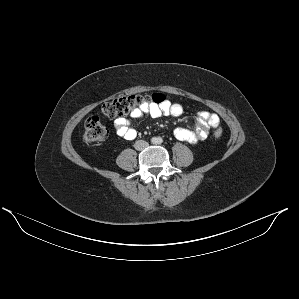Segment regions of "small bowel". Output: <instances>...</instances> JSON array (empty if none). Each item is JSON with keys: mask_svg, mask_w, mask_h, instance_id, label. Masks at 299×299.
Segmentation results:
<instances>
[{"mask_svg": "<svg viewBox=\"0 0 299 299\" xmlns=\"http://www.w3.org/2000/svg\"><path fill=\"white\" fill-rule=\"evenodd\" d=\"M183 114V107L178 103L165 100L161 104H150L134 110L128 117H119L114 121L115 131L118 136L132 140L138 136V131L134 127V121L148 115L158 118L162 115L179 117ZM220 124V118L215 113L199 110L196 113V123L194 129L177 127L173 134L181 140L191 144H196L207 138L210 129H215Z\"/></svg>", "mask_w": 299, "mask_h": 299, "instance_id": "obj_1", "label": "small bowel"}]
</instances>
